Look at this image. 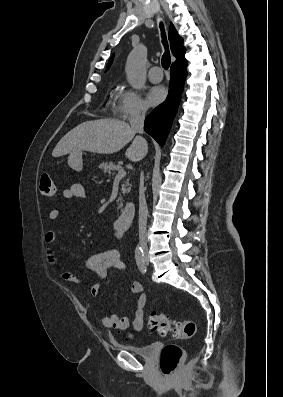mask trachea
Masks as SVG:
<instances>
[{"instance_id": "trachea-1", "label": "trachea", "mask_w": 283, "mask_h": 397, "mask_svg": "<svg viewBox=\"0 0 283 397\" xmlns=\"http://www.w3.org/2000/svg\"><path fill=\"white\" fill-rule=\"evenodd\" d=\"M160 29H161V35H162V43H163V45L165 47V53L162 56L161 63H162V67L165 70H167L169 68V66H170L171 59H170L168 43H167V40H166V35H165V32H164V27H163L162 23L160 24Z\"/></svg>"}]
</instances>
